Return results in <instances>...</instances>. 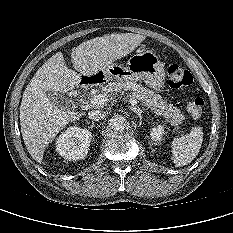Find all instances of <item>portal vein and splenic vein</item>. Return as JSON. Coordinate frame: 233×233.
<instances>
[{"label": "portal vein and splenic vein", "instance_id": "obj_1", "mask_svg": "<svg viewBox=\"0 0 233 233\" xmlns=\"http://www.w3.org/2000/svg\"><path fill=\"white\" fill-rule=\"evenodd\" d=\"M107 101H108V96L106 94H97L91 98V103L93 105H104ZM129 101L132 105L137 104V100L134 98H131Z\"/></svg>", "mask_w": 233, "mask_h": 233}]
</instances>
